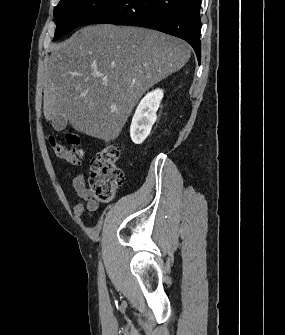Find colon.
I'll list each match as a JSON object with an SVG mask.
<instances>
[{
    "label": "colon",
    "mask_w": 285,
    "mask_h": 335,
    "mask_svg": "<svg viewBox=\"0 0 285 335\" xmlns=\"http://www.w3.org/2000/svg\"><path fill=\"white\" fill-rule=\"evenodd\" d=\"M66 141L70 148H66L50 135L49 144L55 154L73 165H79L84 151L81 147L79 135L69 133ZM120 150L117 145L107 143L92 159L90 163V191L92 196L101 202H109L113 199L116 190L124 180L123 171L118 166Z\"/></svg>",
    "instance_id": "colon-1"
}]
</instances>
